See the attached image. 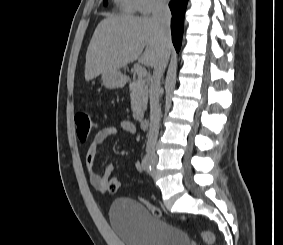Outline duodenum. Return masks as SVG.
<instances>
[{
	"label": "duodenum",
	"instance_id": "duodenum-1",
	"mask_svg": "<svg viewBox=\"0 0 283 245\" xmlns=\"http://www.w3.org/2000/svg\"><path fill=\"white\" fill-rule=\"evenodd\" d=\"M139 124H140L141 129L147 130L149 127V120L145 117H142L139 119Z\"/></svg>",
	"mask_w": 283,
	"mask_h": 245
}]
</instances>
